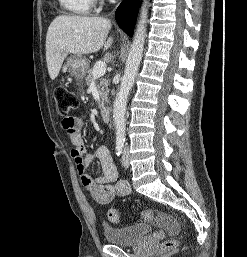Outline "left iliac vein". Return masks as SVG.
<instances>
[{"label":"left iliac vein","instance_id":"4c4485c4","mask_svg":"<svg viewBox=\"0 0 247 257\" xmlns=\"http://www.w3.org/2000/svg\"><path fill=\"white\" fill-rule=\"evenodd\" d=\"M122 165L126 168L129 167V151L128 148L124 149L122 158H121Z\"/></svg>","mask_w":247,"mask_h":257}]
</instances>
